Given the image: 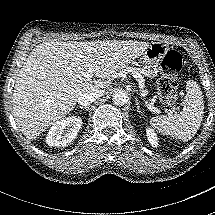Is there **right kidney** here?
<instances>
[{
  "label": "right kidney",
  "mask_w": 215,
  "mask_h": 215,
  "mask_svg": "<svg viewBox=\"0 0 215 215\" xmlns=\"http://www.w3.org/2000/svg\"><path fill=\"white\" fill-rule=\"evenodd\" d=\"M82 126V118L70 116L56 121L49 129L46 144L51 147H65L77 136Z\"/></svg>",
  "instance_id": "1"
}]
</instances>
